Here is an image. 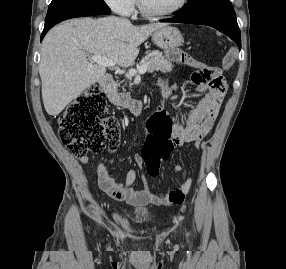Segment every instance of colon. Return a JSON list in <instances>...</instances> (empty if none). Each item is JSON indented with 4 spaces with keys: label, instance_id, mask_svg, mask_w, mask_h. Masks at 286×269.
I'll return each instance as SVG.
<instances>
[{
    "label": "colon",
    "instance_id": "1",
    "mask_svg": "<svg viewBox=\"0 0 286 269\" xmlns=\"http://www.w3.org/2000/svg\"><path fill=\"white\" fill-rule=\"evenodd\" d=\"M162 59L166 62H180V66H195L193 83L189 88L205 91L207 96L204 110H219L221 100L226 99V83L222 75V65L206 66V61H198L185 54V49H161ZM107 102L103 91L98 86L88 88L75 101L66 107L58 119L59 137L70 152L76 157H83L88 152H99L108 147L110 151L118 148L120 143V126L118 121L107 114ZM171 111L159 107L156 111H146V142H143L144 163L150 175L156 176L162 161L169 159L177 146L173 138ZM185 191L178 199L183 202Z\"/></svg>",
    "mask_w": 286,
    "mask_h": 269
}]
</instances>
